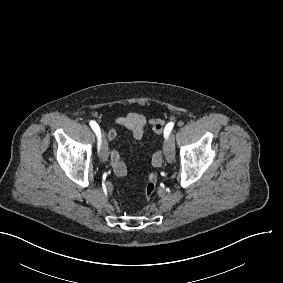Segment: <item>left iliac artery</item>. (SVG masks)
<instances>
[{
	"instance_id": "obj_1",
	"label": "left iliac artery",
	"mask_w": 283,
	"mask_h": 283,
	"mask_svg": "<svg viewBox=\"0 0 283 283\" xmlns=\"http://www.w3.org/2000/svg\"><path fill=\"white\" fill-rule=\"evenodd\" d=\"M173 126H174V123H173V122H170V123H168V124L165 126V129H164V137H165L166 139H167L168 136L170 135Z\"/></svg>"
}]
</instances>
